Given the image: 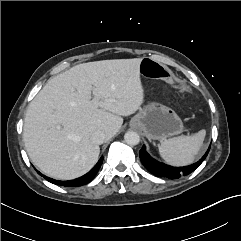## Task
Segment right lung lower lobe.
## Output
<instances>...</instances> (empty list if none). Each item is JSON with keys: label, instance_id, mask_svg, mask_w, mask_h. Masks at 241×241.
Wrapping results in <instances>:
<instances>
[{"label": "right lung lower lobe", "instance_id": "98d812e1", "mask_svg": "<svg viewBox=\"0 0 241 241\" xmlns=\"http://www.w3.org/2000/svg\"><path fill=\"white\" fill-rule=\"evenodd\" d=\"M103 162V157L100 158V160L98 161V163L85 175L74 179V180H70V181H57L54 180L52 178L46 177V180H48L51 183H54L56 185H62L65 187H69V186H73V187H77V186H82L85 185L87 183H89L97 174V172L99 171L101 165Z\"/></svg>", "mask_w": 241, "mask_h": 241}]
</instances>
